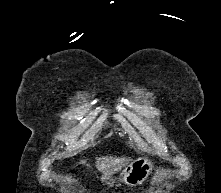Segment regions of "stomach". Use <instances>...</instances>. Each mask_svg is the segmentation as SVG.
I'll list each match as a JSON object with an SVG mask.
<instances>
[{
	"instance_id": "0dacf381",
	"label": "stomach",
	"mask_w": 221,
	"mask_h": 193,
	"mask_svg": "<svg viewBox=\"0 0 221 193\" xmlns=\"http://www.w3.org/2000/svg\"><path fill=\"white\" fill-rule=\"evenodd\" d=\"M152 169V160L144 157L138 158L125 167L119 181L124 182L128 186L140 185L147 179ZM100 180L108 186H113L115 183V179H113L111 174L103 173Z\"/></svg>"
}]
</instances>
